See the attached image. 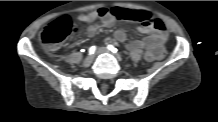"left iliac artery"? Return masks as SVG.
Segmentation results:
<instances>
[{"mask_svg": "<svg viewBox=\"0 0 218 122\" xmlns=\"http://www.w3.org/2000/svg\"><path fill=\"white\" fill-rule=\"evenodd\" d=\"M107 48H108L111 52L117 53V49H116L113 45L109 44V45L107 46Z\"/></svg>", "mask_w": 218, "mask_h": 122, "instance_id": "obj_1", "label": "left iliac artery"}]
</instances>
